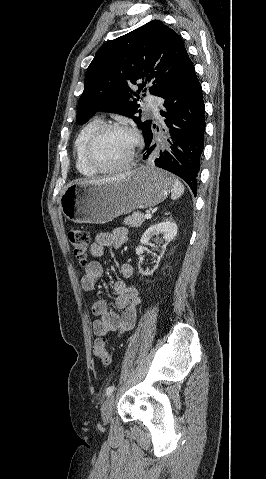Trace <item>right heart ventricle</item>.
<instances>
[{
  "label": "right heart ventricle",
  "mask_w": 266,
  "mask_h": 479,
  "mask_svg": "<svg viewBox=\"0 0 266 479\" xmlns=\"http://www.w3.org/2000/svg\"><path fill=\"white\" fill-rule=\"evenodd\" d=\"M100 125H102V120L93 118L82 127L76 137L74 143L75 165L78 172L83 176L92 177L97 174L87 165L84 158V150L89 137Z\"/></svg>",
  "instance_id": "e07e8e85"
}]
</instances>
